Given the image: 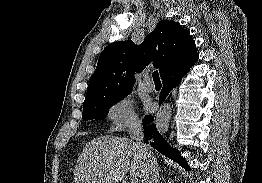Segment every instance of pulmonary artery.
I'll list each match as a JSON object with an SVG mask.
<instances>
[{
    "instance_id": "obj_1",
    "label": "pulmonary artery",
    "mask_w": 262,
    "mask_h": 183,
    "mask_svg": "<svg viewBox=\"0 0 262 183\" xmlns=\"http://www.w3.org/2000/svg\"><path fill=\"white\" fill-rule=\"evenodd\" d=\"M142 87L144 90L151 92L154 90V83L150 81L149 74H146L143 78Z\"/></svg>"
}]
</instances>
